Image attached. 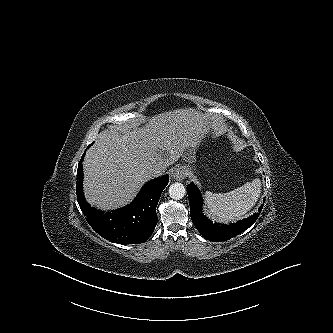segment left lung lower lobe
I'll list each match as a JSON object with an SVG mask.
<instances>
[{
	"label": "left lung lower lobe",
	"mask_w": 333,
	"mask_h": 333,
	"mask_svg": "<svg viewBox=\"0 0 333 333\" xmlns=\"http://www.w3.org/2000/svg\"><path fill=\"white\" fill-rule=\"evenodd\" d=\"M187 193L193 224L204 238L213 242L229 240L247 230L258 219L264 205L263 202L258 209L259 212L253 214L251 217L240 220L237 223L225 225L216 222L213 223L206 216H204L202 211V196L194 183H190L187 186Z\"/></svg>",
	"instance_id": "left-lung-lower-lobe-1"
}]
</instances>
